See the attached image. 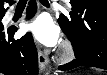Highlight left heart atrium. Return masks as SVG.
<instances>
[{
    "mask_svg": "<svg viewBox=\"0 0 107 75\" xmlns=\"http://www.w3.org/2000/svg\"><path fill=\"white\" fill-rule=\"evenodd\" d=\"M38 42L46 46H54L59 40V29L47 15H40L25 26Z\"/></svg>",
    "mask_w": 107,
    "mask_h": 75,
    "instance_id": "obj_1",
    "label": "left heart atrium"
}]
</instances>
